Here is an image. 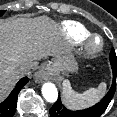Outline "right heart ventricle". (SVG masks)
Masks as SVG:
<instances>
[{"mask_svg": "<svg viewBox=\"0 0 117 117\" xmlns=\"http://www.w3.org/2000/svg\"><path fill=\"white\" fill-rule=\"evenodd\" d=\"M63 31L66 38L74 44L81 43L90 36V31L83 24L74 21L64 22Z\"/></svg>", "mask_w": 117, "mask_h": 117, "instance_id": "e07e8e85", "label": "right heart ventricle"}]
</instances>
